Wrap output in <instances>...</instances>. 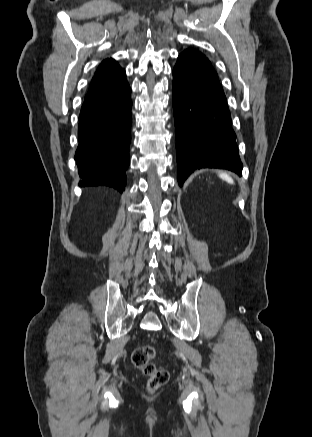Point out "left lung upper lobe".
Returning a JSON list of instances; mask_svg holds the SVG:
<instances>
[{
  "mask_svg": "<svg viewBox=\"0 0 312 437\" xmlns=\"http://www.w3.org/2000/svg\"><path fill=\"white\" fill-rule=\"evenodd\" d=\"M188 51H192V52H195V53H198V54L202 55L201 53H199V52H197L195 50H192V49H188Z\"/></svg>",
  "mask_w": 312,
  "mask_h": 437,
  "instance_id": "left-lung-upper-lobe-1",
  "label": "left lung upper lobe"
}]
</instances>
